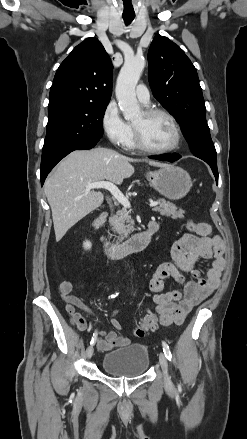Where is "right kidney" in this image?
Returning <instances> with one entry per match:
<instances>
[{
    "instance_id": "ca27d5eb",
    "label": "right kidney",
    "mask_w": 247,
    "mask_h": 439,
    "mask_svg": "<svg viewBox=\"0 0 247 439\" xmlns=\"http://www.w3.org/2000/svg\"><path fill=\"white\" fill-rule=\"evenodd\" d=\"M83 246H84V248H85L86 250H88V249L91 248L92 244H91V242H89V241H85L84 244H83Z\"/></svg>"
}]
</instances>
